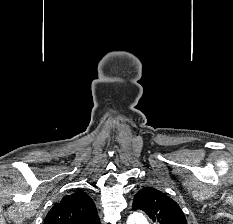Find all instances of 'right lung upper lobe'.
Wrapping results in <instances>:
<instances>
[{
	"instance_id": "1",
	"label": "right lung upper lobe",
	"mask_w": 233,
	"mask_h": 224,
	"mask_svg": "<svg viewBox=\"0 0 233 224\" xmlns=\"http://www.w3.org/2000/svg\"><path fill=\"white\" fill-rule=\"evenodd\" d=\"M43 224H100V220L93 200L79 190L55 204Z\"/></svg>"
}]
</instances>
